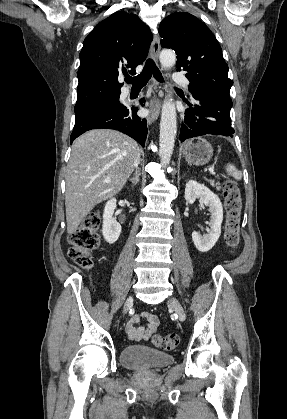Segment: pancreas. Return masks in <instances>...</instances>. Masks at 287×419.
<instances>
[{
	"instance_id": "cf45deb5",
	"label": "pancreas",
	"mask_w": 287,
	"mask_h": 419,
	"mask_svg": "<svg viewBox=\"0 0 287 419\" xmlns=\"http://www.w3.org/2000/svg\"><path fill=\"white\" fill-rule=\"evenodd\" d=\"M209 183L211 186L216 187V189H219V183H216L213 180H209Z\"/></svg>"
}]
</instances>
